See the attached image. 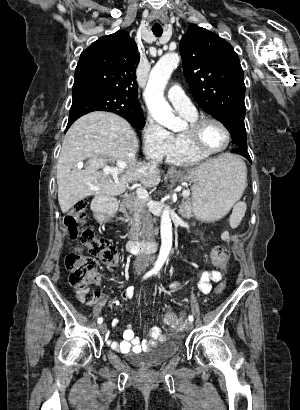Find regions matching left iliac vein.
<instances>
[{
	"label": "left iliac vein",
	"mask_w": 300,
	"mask_h": 410,
	"mask_svg": "<svg viewBox=\"0 0 300 410\" xmlns=\"http://www.w3.org/2000/svg\"><path fill=\"white\" fill-rule=\"evenodd\" d=\"M185 328L187 331L191 330L193 328V323L190 321L185 322Z\"/></svg>",
	"instance_id": "1"
}]
</instances>
